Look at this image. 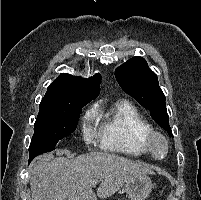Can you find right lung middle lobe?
Instances as JSON below:
<instances>
[{
	"instance_id": "1",
	"label": "right lung middle lobe",
	"mask_w": 201,
	"mask_h": 200,
	"mask_svg": "<svg viewBox=\"0 0 201 200\" xmlns=\"http://www.w3.org/2000/svg\"><path fill=\"white\" fill-rule=\"evenodd\" d=\"M91 100L59 101L43 98L30 144L32 154H42L36 152V146H56L59 140L70 135L76 129L82 107Z\"/></svg>"
}]
</instances>
